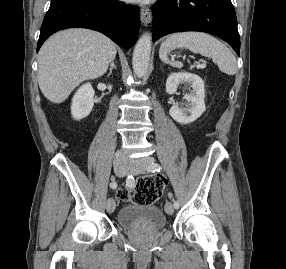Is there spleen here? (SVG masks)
Here are the masks:
<instances>
[{"mask_svg": "<svg viewBox=\"0 0 286 269\" xmlns=\"http://www.w3.org/2000/svg\"><path fill=\"white\" fill-rule=\"evenodd\" d=\"M176 48L189 49L212 58L220 71L234 75L237 71L236 58L229 48L213 36L203 32H180L169 36L161 45L159 57L164 62L176 68H182L180 61L170 60L168 54Z\"/></svg>", "mask_w": 286, "mask_h": 269, "instance_id": "3e777b00", "label": "spleen"}]
</instances>
